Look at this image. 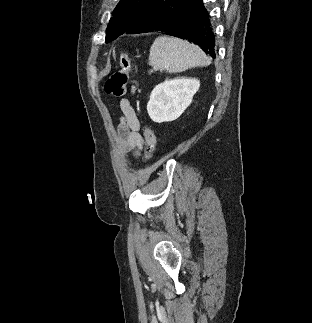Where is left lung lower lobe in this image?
Returning <instances> with one entry per match:
<instances>
[{
    "mask_svg": "<svg viewBox=\"0 0 312 323\" xmlns=\"http://www.w3.org/2000/svg\"><path fill=\"white\" fill-rule=\"evenodd\" d=\"M204 1L173 0L169 7L170 12L151 31H161L170 36L187 39L215 58V25L209 4Z\"/></svg>",
    "mask_w": 312,
    "mask_h": 323,
    "instance_id": "obj_1",
    "label": "left lung lower lobe"
}]
</instances>
